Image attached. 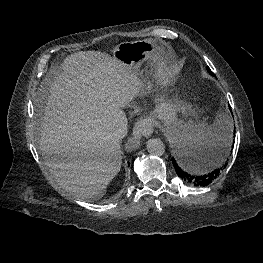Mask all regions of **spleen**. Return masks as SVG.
I'll return each instance as SVG.
<instances>
[{"instance_id":"spleen-1","label":"spleen","mask_w":263,"mask_h":263,"mask_svg":"<svg viewBox=\"0 0 263 263\" xmlns=\"http://www.w3.org/2000/svg\"><path fill=\"white\" fill-rule=\"evenodd\" d=\"M232 125L227 118H217L212 125L178 122L169 134L170 142L183 153L199 154L197 168L207 171L219 166L228 153Z\"/></svg>"}]
</instances>
